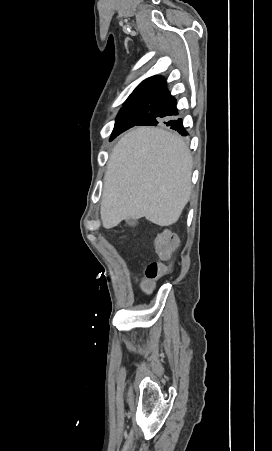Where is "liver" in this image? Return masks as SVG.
Returning <instances> with one entry per match:
<instances>
[{"label": "liver", "instance_id": "6515ba94", "mask_svg": "<svg viewBox=\"0 0 272 451\" xmlns=\"http://www.w3.org/2000/svg\"><path fill=\"white\" fill-rule=\"evenodd\" d=\"M193 160L180 136L161 128H135L114 146L101 200L103 227L122 220L171 226L191 194Z\"/></svg>", "mask_w": 272, "mask_h": 451}]
</instances>
